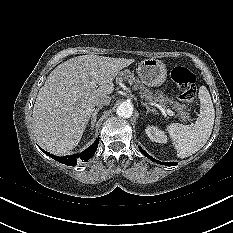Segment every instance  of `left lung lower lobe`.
<instances>
[{
  "label": "left lung lower lobe",
  "instance_id": "0a47b994",
  "mask_svg": "<svg viewBox=\"0 0 233 233\" xmlns=\"http://www.w3.org/2000/svg\"><path fill=\"white\" fill-rule=\"evenodd\" d=\"M139 149H140V152L142 154H144L147 158H149L152 161H156V162H159L160 164L167 165V166L177 165L176 162H160V161H157L156 159L152 158L149 154H147L140 146H139Z\"/></svg>",
  "mask_w": 233,
  "mask_h": 233
}]
</instances>
